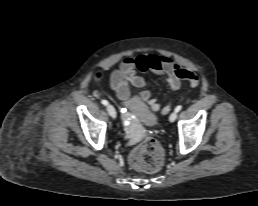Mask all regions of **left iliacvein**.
Wrapping results in <instances>:
<instances>
[{
  "label": "left iliac vein",
  "instance_id": "4c4485c4",
  "mask_svg": "<svg viewBox=\"0 0 258 206\" xmlns=\"http://www.w3.org/2000/svg\"><path fill=\"white\" fill-rule=\"evenodd\" d=\"M177 118V112H173L171 113V115L169 116V121L170 122H174Z\"/></svg>",
  "mask_w": 258,
  "mask_h": 206
}]
</instances>
